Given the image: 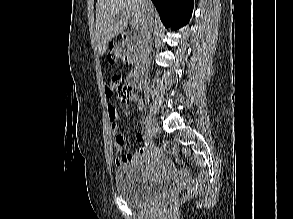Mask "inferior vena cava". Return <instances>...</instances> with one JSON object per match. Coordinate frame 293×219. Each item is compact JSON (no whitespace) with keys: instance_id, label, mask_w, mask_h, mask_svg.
Wrapping results in <instances>:
<instances>
[{"instance_id":"1","label":"inferior vena cava","mask_w":293,"mask_h":219,"mask_svg":"<svg viewBox=\"0 0 293 219\" xmlns=\"http://www.w3.org/2000/svg\"><path fill=\"white\" fill-rule=\"evenodd\" d=\"M142 2L144 6L146 7L147 12H146L145 25L140 36L141 54H140V63L137 70L142 76L146 77L148 75V72L151 66L149 53H150L151 44H152L153 16L149 12L150 0H142Z\"/></svg>"}]
</instances>
